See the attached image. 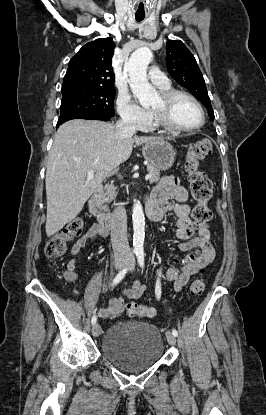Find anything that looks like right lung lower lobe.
<instances>
[{"mask_svg": "<svg viewBox=\"0 0 266 415\" xmlns=\"http://www.w3.org/2000/svg\"><path fill=\"white\" fill-rule=\"evenodd\" d=\"M77 118L107 121V120H110L111 117L105 116V115H99V114L64 113L60 115L56 127L58 128L62 123L68 120L77 119Z\"/></svg>", "mask_w": 266, "mask_h": 415, "instance_id": "98d812e1", "label": "right lung lower lobe"}]
</instances>
